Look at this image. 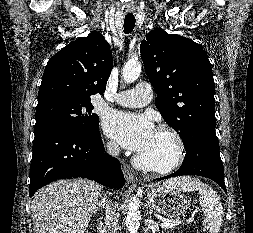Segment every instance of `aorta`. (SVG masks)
<instances>
[{"instance_id":"aorta-1","label":"aorta","mask_w":253,"mask_h":233,"mask_svg":"<svg viewBox=\"0 0 253 233\" xmlns=\"http://www.w3.org/2000/svg\"><path fill=\"white\" fill-rule=\"evenodd\" d=\"M141 73V64L138 61H130L125 64L122 76L125 82L132 83L138 79ZM140 201L137 196H132L128 204V212L125 224L129 233H137L140 226Z\"/></svg>"}]
</instances>
